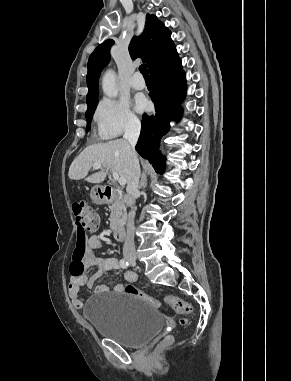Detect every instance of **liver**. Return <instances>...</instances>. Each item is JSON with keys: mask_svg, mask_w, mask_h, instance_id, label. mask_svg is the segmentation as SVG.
I'll return each mask as SVG.
<instances>
[{"mask_svg": "<svg viewBox=\"0 0 291 381\" xmlns=\"http://www.w3.org/2000/svg\"><path fill=\"white\" fill-rule=\"evenodd\" d=\"M94 163H101L103 167L116 171L127 184L131 181L133 169L130 144L125 139L87 146L70 165L69 178L72 180L86 178L90 183L103 182L107 176V171L103 169L87 177Z\"/></svg>", "mask_w": 291, "mask_h": 381, "instance_id": "obj_1", "label": "liver"}]
</instances>
